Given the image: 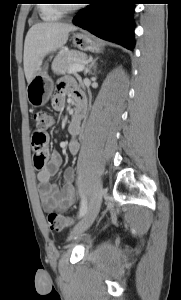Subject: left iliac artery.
I'll return each instance as SVG.
<instances>
[{
  "label": "left iliac artery",
  "mask_w": 181,
  "mask_h": 300,
  "mask_svg": "<svg viewBox=\"0 0 181 300\" xmlns=\"http://www.w3.org/2000/svg\"><path fill=\"white\" fill-rule=\"evenodd\" d=\"M78 189H79V193H80V196H81V205H80V210H79L78 217L81 218L82 216H84V214L87 211V199H86V197L83 193V190H82L80 177L78 178Z\"/></svg>",
  "instance_id": "44dca946"
}]
</instances>
